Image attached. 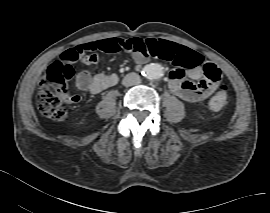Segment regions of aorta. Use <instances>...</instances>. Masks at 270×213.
Listing matches in <instances>:
<instances>
[{
  "mask_svg": "<svg viewBox=\"0 0 270 213\" xmlns=\"http://www.w3.org/2000/svg\"><path fill=\"white\" fill-rule=\"evenodd\" d=\"M143 75L149 80L159 79L163 76V67L157 63H151L144 67Z\"/></svg>",
  "mask_w": 270,
  "mask_h": 213,
  "instance_id": "obj_1",
  "label": "aorta"
}]
</instances>
